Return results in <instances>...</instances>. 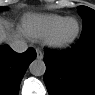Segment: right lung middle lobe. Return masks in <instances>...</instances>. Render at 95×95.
Masks as SVG:
<instances>
[{
    "instance_id": "obj_1",
    "label": "right lung middle lobe",
    "mask_w": 95,
    "mask_h": 95,
    "mask_svg": "<svg viewBox=\"0 0 95 95\" xmlns=\"http://www.w3.org/2000/svg\"><path fill=\"white\" fill-rule=\"evenodd\" d=\"M6 8L5 7H0V10H5Z\"/></svg>"
}]
</instances>
